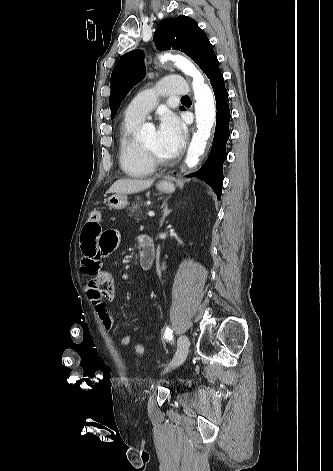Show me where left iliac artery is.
I'll list each match as a JSON object with an SVG mask.
<instances>
[{"instance_id":"obj_1","label":"left iliac artery","mask_w":333,"mask_h":471,"mask_svg":"<svg viewBox=\"0 0 333 471\" xmlns=\"http://www.w3.org/2000/svg\"><path fill=\"white\" fill-rule=\"evenodd\" d=\"M172 333H173V331L171 330V328L166 327L165 333H164V338H165V339H170V338H172Z\"/></svg>"}]
</instances>
